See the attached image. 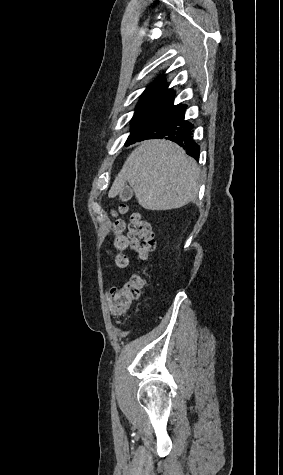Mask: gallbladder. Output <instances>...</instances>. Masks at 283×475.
Here are the masks:
<instances>
[{"instance_id":"1","label":"gallbladder","mask_w":283,"mask_h":475,"mask_svg":"<svg viewBox=\"0 0 283 475\" xmlns=\"http://www.w3.org/2000/svg\"><path fill=\"white\" fill-rule=\"evenodd\" d=\"M133 196V190L132 188H130V186H125L124 190H122V192H120V200H122V202H127V200H131Z\"/></svg>"}]
</instances>
